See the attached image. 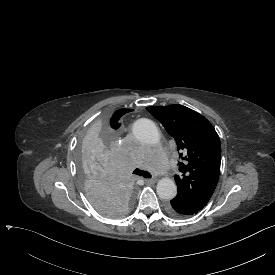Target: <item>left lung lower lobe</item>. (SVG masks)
<instances>
[{"label": "left lung lower lobe", "mask_w": 275, "mask_h": 275, "mask_svg": "<svg viewBox=\"0 0 275 275\" xmlns=\"http://www.w3.org/2000/svg\"><path fill=\"white\" fill-rule=\"evenodd\" d=\"M200 210L176 199L171 200V205L167 206L168 213L175 218H185L197 214Z\"/></svg>", "instance_id": "1"}]
</instances>
